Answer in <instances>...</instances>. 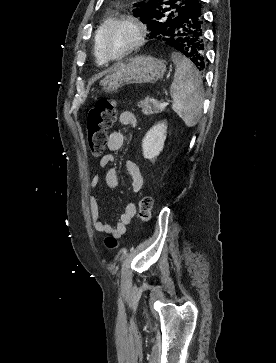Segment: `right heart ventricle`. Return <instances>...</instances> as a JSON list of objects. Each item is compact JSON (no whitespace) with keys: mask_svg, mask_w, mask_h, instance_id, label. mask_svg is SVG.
<instances>
[{"mask_svg":"<svg viewBox=\"0 0 276 363\" xmlns=\"http://www.w3.org/2000/svg\"><path fill=\"white\" fill-rule=\"evenodd\" d=\"M111 21L110 18H105L103 23H102V26L97 34V37H96V43H95V57H96V62L98 65H104L105 61L103 60L101 54H100V51H99V35L101 33V31L107 26V24Z\"/></svg>","mask_w":276,"mask_h":363,"instance_id":"e07e8e85","label":"right heart ventricle"}]
</instances>
